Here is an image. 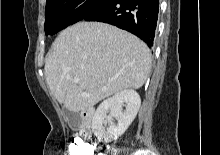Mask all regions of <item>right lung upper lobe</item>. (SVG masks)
Wrapping results in <instances>:
<instances>
[{"instance_id": "obj_1", "label": "right lung upper lobe", "mask_w": 220, "mask_h": 155, "mask_svg": "<svg viewBox=\"0 0 220 155\" xmlns=\"http://www.w3.org/2000/svg\"><path fill=\"white\" fill-rule=\"evenodd\" d=\"M51 1H53V0H47L46 3H49V2H51Z\"/></svg>"}]
</instances>
